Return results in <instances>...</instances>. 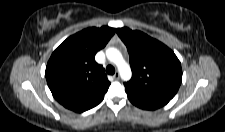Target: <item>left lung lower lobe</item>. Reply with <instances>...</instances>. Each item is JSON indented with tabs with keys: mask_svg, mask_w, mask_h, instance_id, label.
Segmentation results:
<instances>
[{
	"mask_svg": "<svg viewBox=\"0 0 225 132\" xmlns=\"http://www.w3.org/2000/svg\"><path fill=\"white\" fill-rule=\"evenodd\" d=\"M127 95L131 103L146 110H155L166 105L170 101L163 98H142L139 96L130 95L128 93Z\"/></svg>",
	"mask_w": 225,
	"mask_h": 132,
	"instance_id": "left-lung-lower-lobe-1",
	"label": "left lung lower lobe"
}]
</instances>
